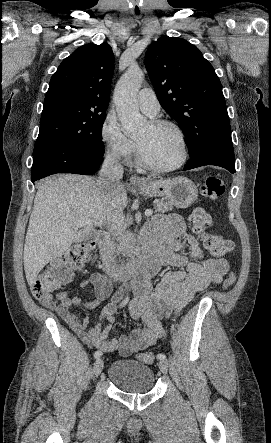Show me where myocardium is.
I'll return each mask as SVG.
<instances>
[{"mask_svg": "<svg viewBox=\"0 0 271 443\" xmlns=\"http://www.w3.org/2000/svg\"><path fill=\"white\" fill-rule=\"evenodd\" d=\"M148 123L152 127L168 126V127L173 128L178 133L181 143H182V150H183L182 156L178 162H176L172 165L159 166V165H156V164L152 163L151 161H149V159L146 157V155L144 154V152L141 149V147L139 146V144L136 142L139 163L148 170H151L154 172H160V173L170 172V171L179 169L182 166H184L189 158V143H188V139H187V136H186V133L184 132V130L177 123H175L171 120H167V119L156 118V119L150 120Z\"/></svg>", "mask_w": 271, "mask_h": 443, "instance_id": "f54148a6", "label": "myocardium"}]
</instances>
